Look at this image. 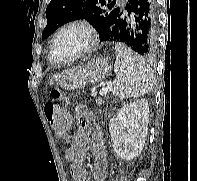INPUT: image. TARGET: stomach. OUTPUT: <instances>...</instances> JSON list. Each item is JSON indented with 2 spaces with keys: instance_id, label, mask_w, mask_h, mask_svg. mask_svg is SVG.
I'll return each mask as SVG.
<instances>
[{
  "instance_id": "0dacf381",
  "label": "stomach",
  "mask_w": 197,
  "mask_h": 181,
  "mask_svg": "<svg viewBox=\"0 0 197 181\" xmlns=\"http://www.w3.org/2000/svg\"><path fill=\"white\" fill-rule=\"evenodd\" d=\"M110 70L109 62L106 59L98 58L63 76L59 84L66 90H77L103 81Z\"/></svg>"
}]
</instances>
